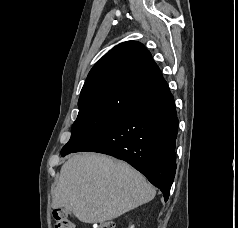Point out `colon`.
Segmentation results:
<instances>
[{
    "instance_id": "1",
    "label": "colon",
    "mask_w": 238,
    "mask_h": 228,
    "mask_svg": "<svg viewBox=\"0 0 238 228\" xmlns=\"http://www.w3.org/2000/svg\"><path fill=\"white\" fill-rule=\"evenodd\" d=\"M54 228H74V223L66 210L62 208L54 209L53 214ZM90 228H115L114 222L107 220L93 224Z\"/></svg>"
}]
</instances>
